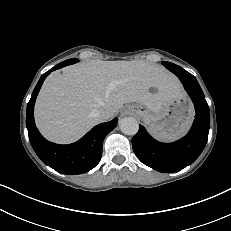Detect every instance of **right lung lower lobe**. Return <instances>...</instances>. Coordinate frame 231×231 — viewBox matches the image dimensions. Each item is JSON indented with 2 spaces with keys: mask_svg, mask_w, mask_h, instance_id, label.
Returning a JSON list of instances; mask_svg holds the SVG:
<instances>
[{
  "mask_svg": "<svg viewBox=\"0 0 231 231\" xmlns=\"http://www.w3.org/2000/svg\"><path fill=\"white\" fill-rule=\"evenodd\" d=\"M70 64L71 62L64 61L41 76L27 105L26 127L34 151L47 166L59 173L75 175L86 173L99 163L103 140L116 127L117 118L93 127L83 138L73 144L58 145L42 137L35 126L33 116L36 97L50 72Z\"/></svg>",
  "mask_w": 231,
  "mask_h": 231,
  "instance_id": "98d812e1",
  "label": "right lung lower lobe"
}]
</instances>
